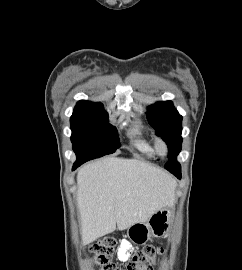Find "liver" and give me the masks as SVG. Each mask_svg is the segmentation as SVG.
Listing matches in <instances>:
<instances>
[{"label":"liver","instance_id":"liver-1","mask_svg":"<svg viewBox=\"0 0 242 270\" xmlns=\"http://www.w3.org/2000/svg\"><path fill=\"white\" fill-rule=\"evenodd\" d=\"M77 185L83 242L89 243L170 206L176 181L148 163L109 157L83 166Z\"/></svg>","mask_w":242,"mask_h":270}]
</instances>
